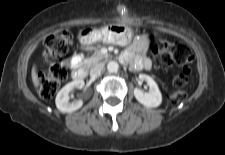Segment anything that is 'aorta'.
<instances>
[{
  "label": "aorta",
  "mask_w": 225,
  "mask_h": 155,
  "mask_svg": "<svg viewBox=\"0 0 225 155\" xmlns=\"http://www.w3.org/2000/svg\"><path fill=\"white\" fill-rule=\"evenodd\" d=\"M119 69V64L116 61H110L107 64V70L110 73H115Z\"/></svg>",
  "instance_id": "762f6f07"
}]
</instances>
